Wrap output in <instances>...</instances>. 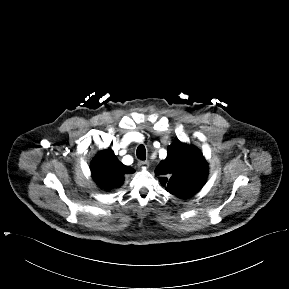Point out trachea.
<instances>
[{
	"label": "trachea",
	"mask_w": 289,
	"mask_h": 289,
	"mask_svg": "<svg viewBox=\"0 0 289 289\" xmlns=\"http://www.w3.org/2000/svg\"><path fill=\"white\" fill-rule=\"evenodd\" d=\"M137 158L140 160L146 159V149L143 145H140L136 151Z\"/></svg>",
	"instance_id": "1"
}]
</instances>
